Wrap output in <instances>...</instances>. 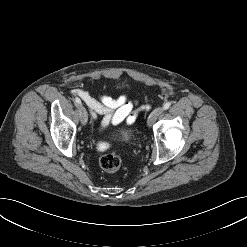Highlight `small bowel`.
I'll list each match as a JSON object with an SVG mask.
<instances>
[{
    "instance_id": "obj_1",
    "label": "small bowel",
    "mask_w": 247,
    "mask_h": 247,
    "mask_svg": "<svg viewBox=\"0 0 247 247\" xmlns=\"http://www.w3.org/2000/svg\"><path fill=\"white\" fill-rule=\"evenodd\" d=\"M72 94L79 96L87 104L94 118L97 115L102 116L101 127L103 129L122 122L132 124L136 119V112L133 109L137 103L130 100L125 94L118 97L100 94L96 99L86 90L80 88L72 90Z\"/></svg>"
}]
</instances>
